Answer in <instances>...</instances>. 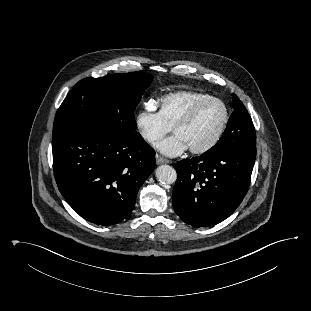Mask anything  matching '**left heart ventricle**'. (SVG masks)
Returning a JSON list of instances; mask_svg holds the SVG:
<instances>
[{
    "label": "left heart ventricle",
    "instance_id": "left-heart-ventricle-1",
    "mask_svg": "<svg viewBox=\"0 0 311 311\" xmlns=\"http://www.w3.org/2000/svg\"><path fill=\"white\" fill-rule=\"evenodd\" d=\"M223 107L217 102H208L195 114L185 126L177 129L175 134L180 135L188 148H199L208 143L223 119Z\"/></svg>",
    "mask_w": 311,
    "mask_h": 311
}]
</instances>
